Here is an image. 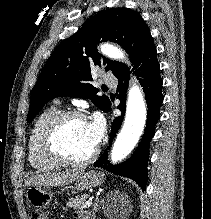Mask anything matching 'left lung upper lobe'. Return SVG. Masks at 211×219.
I'll return each instance as SVG.
<instances>
[{
    "instance_id": "obj_1",
    "label": "left lung upper lobe",
    "mask_w": 211,
    "mask_h": 219,
    "mask_svg": "<svg viewBox=\"0 0 211 219\" xmlns=\"http://www.w3.org/2000/svg\"><path fill=\"white\" fill-rule=\"evenodd\" d=\"M150 36L140 14L129 8H111L95 14L73 36L64 40L52 53L31 92L27 121L30 123L42 107L59 96L90 98L104 112L111 102L96 95L91 70L105 65L114 75L125 64L101 56L96 44L112 41L120 44L132 60Z\"/></svg>"
}]
</instances>
